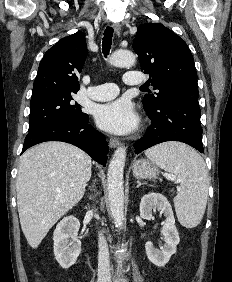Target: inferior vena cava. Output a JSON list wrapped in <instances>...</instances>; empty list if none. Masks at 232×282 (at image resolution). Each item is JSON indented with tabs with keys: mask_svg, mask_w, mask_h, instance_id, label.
<instances>
[{
	"mask_svg": "<svg viewBox=\"0 0 232 282\" xmlns=\"http://www.w3.org/2000/svg\"><path fill=\"white\" fill-rule=\"evenodd\" d=\"M98 282L110 281L109 250L105 237L102 233L98 236Z\"/></svg>",
	"mask_w": 232,
	"mask_h": 282,
	"instance_id": "obj_1",
	"label": "inferior vena cava"
}]
</instances>
